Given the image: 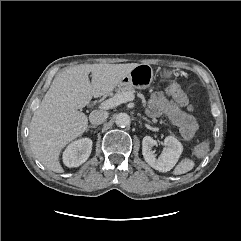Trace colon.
I'll use <instances>...</instances> for the list:
<instances>
[{"label":"colon","instance_id":"1","mask_svg":"<svg viewBox=\"0 0 241 241\" xmlns=\"http://www.w3.org/2000/svg\"><path fill=\"white\" fill-rule=\"evenodd\" d=\"M166 93L174 99L179 105L191 109L186 93L181 89L178 84L172 83L167 86ZM209 151V145L206 142H202L195 147V154L199 157L205 156Z\"/></svg>","mask_w":241,"mask_h":241}]
</instances>
